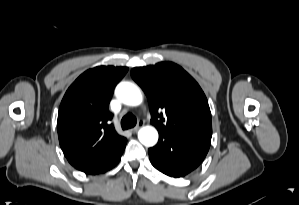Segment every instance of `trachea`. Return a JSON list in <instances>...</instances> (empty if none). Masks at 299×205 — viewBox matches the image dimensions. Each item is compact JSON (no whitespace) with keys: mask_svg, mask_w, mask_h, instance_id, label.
<instances>
[{"mask_svg":"<svg viewBox=\"0 0 299 205\" xmlns=\"http://www.w3.org/2000/svg\"><path fill=\"white\" fill-rule=\"evenodd\" d=\"M137 124V120L134 115L131 113L126 114L121 120L122 129H129L134 127Z\"/></svg>","mask_w":299,"mask_h":205,"instance_id":"3493384b","label":"trachea"}]
</instances>
